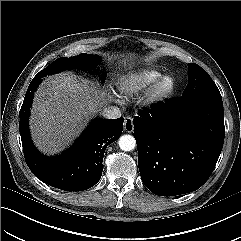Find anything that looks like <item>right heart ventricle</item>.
<instances>
[{
    "label": "right heart ventricle",
    "mask_w": 241,
    "mask_h": 241,
    "mask_svg": "<svg viewBox=\"0 0 241 241\" xmlns=\"http://www.w3.org/2000/svg\"><path fill=\"white\" fill-rule=\"evenodd\" d=\"M161 73L155 69H142L123 77L119 82V90L127 95L133 96L153 84Z\"/></svg>",
    "instance_id": "1"
}]
</instances>
